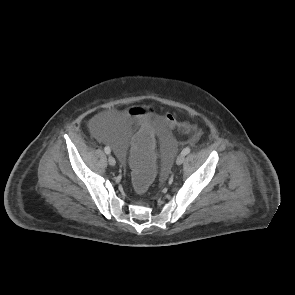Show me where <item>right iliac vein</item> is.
Masks as SVG:
<instances>
[{"instance_id": "63e3f726", "label": "right iliac vein", "mask_w": 295, "mask_h": 295, "mask_svg": "<svg viewBox=\"0 0 295 295\" xmlns=\"http://www.w3.org/2000/svg\"><path fill=\"white\" fill-rule=\"evenodd\" d=\"M108 162L111 166H115V164H116L115 158L111 155L108 157Z\"/></svg>"}]
</instances>
